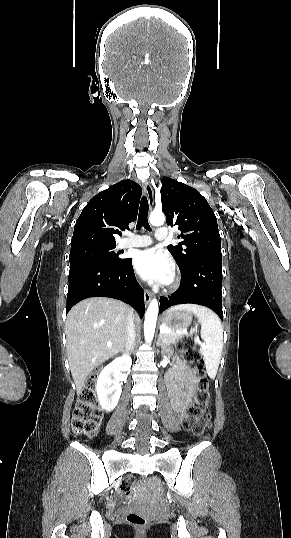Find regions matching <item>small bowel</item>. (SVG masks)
Instances as JSON below:
<instances>
[{
	"label": "small bowel",
	"instance_id": "obj_1",
	"mask_svg": "<svg viewBox=\"0 0 291 538\" xmlns=\"http://www.w3.org/2000/svg\"><path fill=\"white\" fill-rule=\"evenodd\" d=\"M170 395L177 412H181L182 404L189 401L194 393L197 378L193 370L182 362L177 363L168 379Z\"/></svg>",
	"mask_w": 291,
	"mask_h": 538
}]
</instances>
